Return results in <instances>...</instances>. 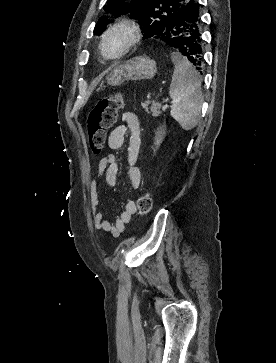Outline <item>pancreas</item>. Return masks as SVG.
<instances>
[{"instance_id":"pancreas-1","label":"pancreas","mask_w":276,"mask_h":363,"mask_svg":"<svg viewBox=\"0 0 276 363\" xmlns=\"http://www.w3.org/2000/svg\"><path fill=\"white\" fill-rule=\"evenodd\" d=\"M150 104L151 106L149 107ZM141 106L147 114L152 113V115L155 117L161 114L160 105L158 103L147 100L144 103H141Z\"/></svg>"}]
</instances>
